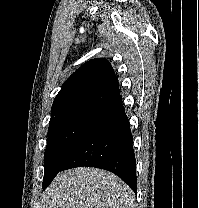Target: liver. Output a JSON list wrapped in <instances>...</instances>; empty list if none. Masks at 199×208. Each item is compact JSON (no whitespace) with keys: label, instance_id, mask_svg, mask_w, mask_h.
Here are the masks:
<instances>
[{"label":"liver","instance_id":"obj_1","mask_svg":"<svg viewBox=\"0 0 199 208\" xmlns=\"http://www.w3.org/2000/svg\"><path fill=\"white\" fill-rule=\"evenodd\" d=\"M134 202L118 176L91 167L60 172L44 195V208H135Z\"/></svg>","mask_w":199,"mask_h":208}]
</instances>
